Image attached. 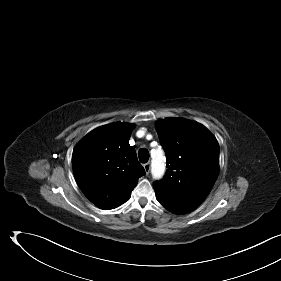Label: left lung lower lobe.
<instances>
[{"label":"left lung lower lobe","instance_id":"1","mask_svg":"<svg viewBox=\"0 0 281 281\" xmlns=\"http://www.w3.org/2000/svg\"><path fill=\"white\" fill-rule=\"evenodd\" d=\"M158 202H160L167 210L175 214H185L189 213L199 205L189 203L180 198H172L168 200H163L160 197H157Z\"/></svg>","mask_w":281,"mask_h":281}]
</instances>
